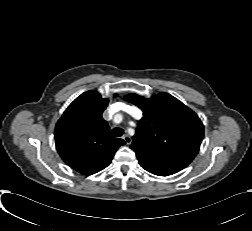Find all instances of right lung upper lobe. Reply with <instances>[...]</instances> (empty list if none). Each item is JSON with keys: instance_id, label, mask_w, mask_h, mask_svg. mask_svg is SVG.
Wrapping results in <instances>:
<instances>
[{"instance_id": "cb5924a9", "label": "right lung upper lobe", "mask_w": 252, "mask_h": 231, "mask_svg": "<svg viewBox=\"0 0 252 231\" xmlns=\"http://www.w3.org/2000/svg\"><path fill=\"white\" fill-rule=\"evenodd\" d=\"M108 101L96 91L85 92L69 105L56 124V149L64 162L81 174L92 175L106 168L118 147L125 144L110 135L102 118Z\"/></svg>"}]
</instances>
